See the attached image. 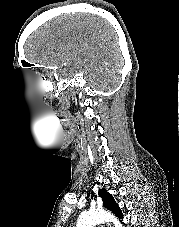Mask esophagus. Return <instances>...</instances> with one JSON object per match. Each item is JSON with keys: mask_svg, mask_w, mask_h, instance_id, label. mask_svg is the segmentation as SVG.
Listing matches in <instances>:
<instances>
[{"mask_svg": "<svg viewBox=\"0 0 179 227\" xmlns=\"http://www.w3.org/2000/svg\"><path fill=\"white\" fill-rule=\"evenodd\" d=\"M108 227H111V225H110V224H108Z\"/></svg>", "mask_w": 179, "mask_h": 227, "instance_id": "obj_1", "label": "esophagus"}]
</instances>
